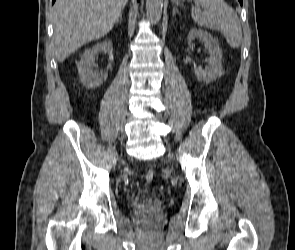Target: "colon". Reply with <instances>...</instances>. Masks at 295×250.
Wrapping results in <instances>:
<instances>
[{
    "label": "colon",
    "instance_id": "1",
    "mask_svg": "<svg viewBox=\"0 0 295 250\" xmlns=\"http://www.w3.org/2000/svg\"><path fill=\"white\" fill-rule=\"evenodd\" d=\"M155 177V173L153 170H149L147 173H146V176H145V179L148 183L152 182L153 179Z\"/></svg>",
    "mask_w": 295,
    "mask_h": 250
}]
</instances>
